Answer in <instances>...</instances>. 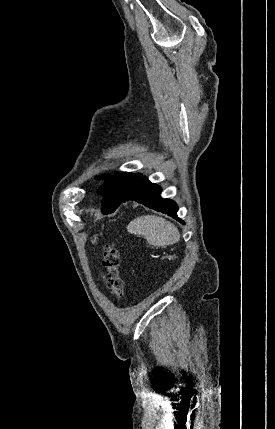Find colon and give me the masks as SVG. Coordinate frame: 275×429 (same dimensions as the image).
I'll return each instance as SVG.
<instances>
[{
	"label": "colon",
	"mask_w": 275,
	"mask_h": 429,
	"mask_svg": "<svg viewBox=\"0 0 275 429\" xmlns=\"http://www.w3.org/2000/svg\"><path fill=\"white\" fill-rule=\"evenodd\" d=\"M103 266L107 270V286L113 296L121 299L124 295V281L120 276V254L115 244H107L103 253Z\"/></svg>",
	"instance_id": "5ec220e1"
}]
</instances>
